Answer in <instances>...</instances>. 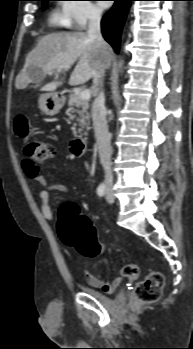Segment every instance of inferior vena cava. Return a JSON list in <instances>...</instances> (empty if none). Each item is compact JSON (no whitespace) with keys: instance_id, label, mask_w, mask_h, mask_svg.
<instances>
[{"instance_id":"inferior-vena-cava-1","label":"inferior vena cava","mask_w":193,"mask_h":349,"mask_svg":"<svg viewBox=\"0 0 193 349\" xmlns=\"http://www.w3.org/2000/svg\"><path fill=\"white\" fill-rule=\"evenodd\" d=\"M102 11L98 8H92L89 13L88 36L99 43L104 39L101 34L100 22ZM95 84L100 86V92L92 104V120L95 131L96 143L98 145L100 162L105 171L106 184L112 185L113 176L111 171V135L108 131L106 121L105 95L102 90L103 82L101 79L96 80Z\"/></svg>"}]
</instances>
